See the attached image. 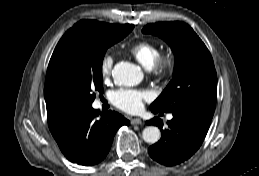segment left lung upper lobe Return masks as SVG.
Wrapping results in <instances>:
<instances>
[{"mask_svg": "<svg viewBox=\"0 0 259 176\" xmlns=\"http://www.w3.org/2000/svg\"><path fill=\"white\" fill-rule=\"evenodd\" d=\"M142 32L165 40L175 55L173 79L150 105L151 111L192 110L213 117L217 74L209 50L193 29L174 21L146 25Z\"/></svg>", "mask_w": 259, "mask_h": 176, "instance_id": "left-lung-upper-lobe-1", "label": "left lung upper lobe"}]
</instances>
